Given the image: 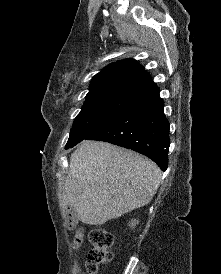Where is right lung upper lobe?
Masks as SVG:
<instances>
[{"instance_id":"cb5924a9","label":"right lung upper lobe","mask_w":221,"mask_h":274,"mask_svg":"<svg viewBox=\"0 0 221 274\" xmlns=\"http://www.w3.org/2000/svg\"><path fill=\"white\" fill-rule=\"evenodd\" d=\"M155 87L136 60L124 59L109 64L92 78L86 99L122 98L134 101Z\"/></svg>"}]
</instances>
